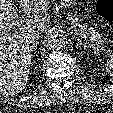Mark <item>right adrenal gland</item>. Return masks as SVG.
Listing matches in <instances>:
<instances>
[{
    "label": "right adrenal gland",
    "mask_w": 113,
    "mask_h": 113,
    "mask_svg": "<svg viewBox=\"0 0 113 113\" xmlns=\"http://www.w3.org/2000/svg\"><path fill=\"white\" fill-rule=\"evenodd\" d=\"M38 44H39V37L36 38V42L33 46V51H35L38 48Z\"/></svg>",
    "instance_id": "1"
}]
</instances>
